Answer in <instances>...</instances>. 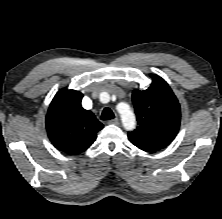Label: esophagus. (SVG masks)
<instances>
[{
	"label": "esophagus",
	"instance_id": "1",
	"mask_svg": "<svg viewBox=\"0 0 222 219\" xmlns=\"http://www.w3.org/2000/svg\"><path fill=\"white\" fill-rule=\"evenodd\" d=\"M119 123L118 118L112 119L108 121L109 125H117Z\"/></svg>",
	"mask_w": 222,
	"mask_h": 219
}]
</instances>
